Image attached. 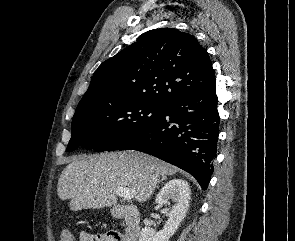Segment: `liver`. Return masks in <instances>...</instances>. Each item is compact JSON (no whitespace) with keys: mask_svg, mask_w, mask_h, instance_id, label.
Returning a JSON list of instances; mask_svg holds the SVG:
<instances>
[{"mask_svg":"<svg viewBox=\"0 0 295 241\" xmlns=\"http://www.w3.org/2000/svg\"><path fill=\"white\" fill-rule=\"evenodd\" d=\"M175 172V166L136 151L79 156L62 171L57 194L61 200H70L72 211L116 204L119 187L135 190V200L142 203L153 194L161 176Z\"/></svg>","mask_w":295,"mask_h":241,"instance_id":"obj_1","label":"liver"}]
</instances>
